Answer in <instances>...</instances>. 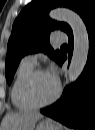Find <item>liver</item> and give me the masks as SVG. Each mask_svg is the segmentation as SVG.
<instances>
[{
    "instance_id": "1",
    "label": "liver",
    "mask_w": 95,
    "mask_h": 130,
    "mask_svg": "<svg viewBox=\"0 0 95 130\" xmlns=\"http://www.w3.org/2000/svg\"><path fill=\"white\" fill-rule=\"evenodd\" d=\"M42 117L38 112L7 113L2 122V130H34L37 121Z\"/></svg>"
}]
</instances>
